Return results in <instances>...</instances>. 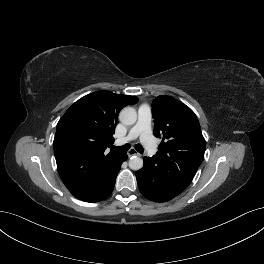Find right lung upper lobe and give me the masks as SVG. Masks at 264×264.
Here are the masks:
<instances>
[{
    "instance_id": "right-lung-upper-lobe-1",
    "label": "right lung upper lobe",
    "mask_w": 264,
    "mask_h": 264,
    "mask_svg": "<svg viewBox=\"0 0 264 264\" xmlns=\"http://www.w3.org/2000/svg\"><path fill=\"white\" fill-rule=\"evenodd\" d=\"M137 101L135 96L98 91L76 101L59 120L53 142L57 169L76 198L95 202L108 189L123 153L105 150L114 142L120 110Z\"/></svg>"
}]
</instances>
